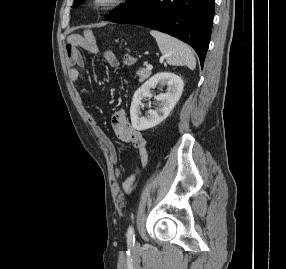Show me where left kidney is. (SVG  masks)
I'll use <instances>...</instances> for the list:
<instances>
[{
  "label": "left kidney",
  "instance_id": "obj_1",
  "mask_svg": "<svg viewBox=\"0 0 286 269\" xmlns=\"http://www.w3.org/2000/svg\"><path fill=\"white\" fill-rule=\"evenodd\" d=\"M157 84L167 85V92L154 98L158 108L149 110L146 117H140L142 100L151 98L150 89ZM184 83L181 77L167 72L157 73L147 80L135 93L130 107V117L134 129L143 131L155 127L168 117L183 92Z\"/></svg>",
  "mask_w": 286,
  "mask_h": 269
}]
</instances>
